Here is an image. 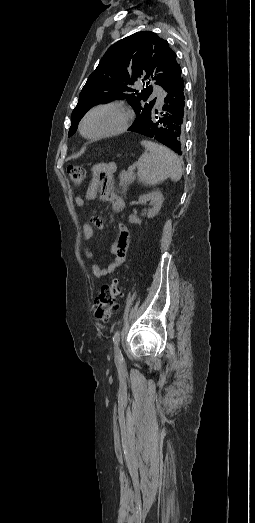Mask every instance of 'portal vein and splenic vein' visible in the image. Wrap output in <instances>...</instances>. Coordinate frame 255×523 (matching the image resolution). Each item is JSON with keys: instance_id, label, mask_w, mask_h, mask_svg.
<instances>
[{"instance_id": "18ae733b", "label": "portal vein and splenic vein", "mask_w": 255, "mask_h": 523, "mask_svg": "<svg viewBox=\"0 0 255 523\" xmlns=\"http://www.w3.org/2000/svg\"><path fill=\"white\" fill-rule=\"evenodd\" d=\"M134 170H135V168L129 167V168L127 169V172H128L129 174H132V173L134 172Z\"/></svg>"}]
</instances>
